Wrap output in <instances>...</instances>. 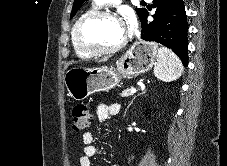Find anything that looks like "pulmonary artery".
I'll use <instances>...</instances> for the list:
<instances>
[{"label":"pulmonary artery","instance_id":"obj_1","mask_svg":"<svg viewBox=\"0 0 227 166\" xmlns=\"http://www.w3.org/2000/svg\"><path fill=\"white\" fill-rule=\"evenodd\" d=\"M117 2L119 0H96L97 5H102L104 2ZM145 1H150V0H145Z\"/></svg>","mask_w":227,"mask_h":166}]
</instances>
